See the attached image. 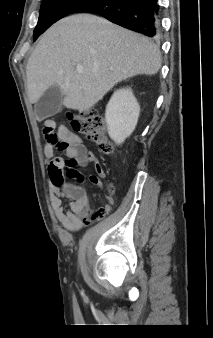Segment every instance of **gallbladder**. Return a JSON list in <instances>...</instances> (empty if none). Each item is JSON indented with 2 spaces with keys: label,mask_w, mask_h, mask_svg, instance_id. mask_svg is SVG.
<instances>
[{
  "label": "gallbladder",
  "mask_w": 213,
  "mask_h": 338,
  "mask_svg": "<svg viewBox=\"0 0 213 338\" xmlns=\"http://www.w3.org/2000/svg\"><path fill=\"white\" fill-rule=\"evenodd\" d=\"M64 95L57 85L49 87L41 98L35 103V115L43 120L55 115L61 108Z\"/></svg>",
  "instance_id": "obj_1"
}]
</instances>
